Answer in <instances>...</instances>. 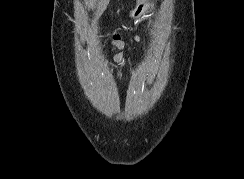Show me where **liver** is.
Listing matches in <instances>:
<instances>
[{
	"label": "liver",
	"instance_id": "liver-1",
	"mask_svg": "<svg viewBox=\"0 0 244 179\" xmlns=\"http://www.w3.org/2000/svg\"><path fill=\"white\" fill-rule=\"evenodd\" d=\"M108 4H109V0H99L96 16H100V14H102V12L106 10Z\"/></svg>",
	"mask_w": 244,
	"mask_h": 179
}]
</instances>
